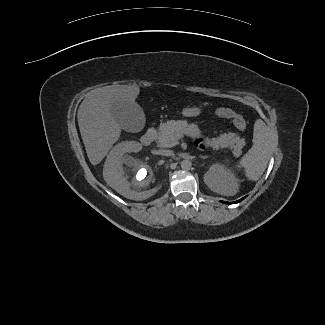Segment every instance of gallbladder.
Instances as JSON below:
<instances>
[{
	"instance_id": "gallbladder-1",
	"label": "gallbladder",
	"mask_w": 325,
	"mask_h": 325,
	"mask_svg": "<svg viewBox=\"0 0 325 325\" xmlns=\"http://www.w3.org/2000/svg\"><path fill=\"white\" fill-rule=\"evenodd\" d=\"M111 113L120 127L127 132H139L145 125V115L137 103L124 100L111 104Z\"/></svg>"
}]
</instances>
